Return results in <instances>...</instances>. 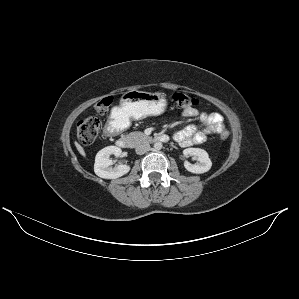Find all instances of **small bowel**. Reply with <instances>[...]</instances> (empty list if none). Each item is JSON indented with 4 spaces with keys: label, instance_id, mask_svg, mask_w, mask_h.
<instances>
[{
    "label": "small bowel",
    "instance_id": "obj_1",
    "mask_svg": "<svg viewBox=\"0 0 299 299\" xmlns=\"http://www.w3.org/2000/svg\"><path fill=\"white\" fill-rule=\"evenodd\" d=\"M182 116L196 118L203 126L200 129L197 125L191 124L176 132L174 140L182 147L201 144L210 135L220 134L225 130L224 119L218 113L208 114L194 108H187L182 111Z\"/></svg>",
    "mask_w": 299,
    "mask_h": 299
}]
</instances>
